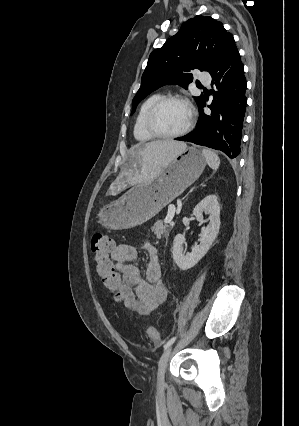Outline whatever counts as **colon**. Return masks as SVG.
I'll use <instances>...</instances> for the list:
<instances>
[{
	"mask_svg": "<svg viewBox=\"0 0 299 426\" xmlns=\"http://www.w3.org/2000/svg\"><path fill=\"white\" fill-rule=\"evenodd\" d=\"M113 249L114 241L109 234L105 232H96L92 236L91 251L100 280L103 286L114 295L115 299L122 302V280L111 260ZM147 335L154 343H160L162 341L161 333L153 326L148 327Z\"/></svg>",
	"mask_w": 299,
	"mask_h": 426,
	"instance_id": "obj_1",
	"label": "colon"
}]
</instances>
